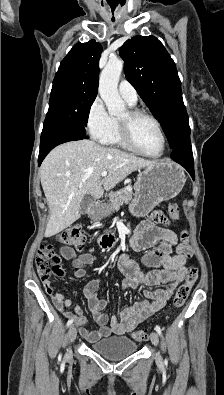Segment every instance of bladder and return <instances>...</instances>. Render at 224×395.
I'll use <instances>...</instances> for the list:
<instances>
[{"label": "bladder", "instance_id": "1", "mask_svg": "<svg viewBox=\"0 0 224 395\" xmlns=\"http://www.w3.org/2000/svg\"><path fill=\"white\" fill-rule=\"evenodd\" d=\"M91 350L96 354L110 361H119L133 353L138 349L128 337H108L94 342L90 346Z\"/></svg>", "mask_w": 224, "mask_h": 395}]
</instances>
